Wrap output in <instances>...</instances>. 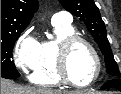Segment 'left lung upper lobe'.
Returning a JSON list of instances; mask_svg holds the SVG:
<instances>
[{
  "label": "left lung upper lobe",
  "instance_id": "obj_1",
  "mask_svg": "<svg viewBox=\"0 0 121 94\" xmlns=\"http://www.w3.org/2000/svg\"><path fill=\"white\" fill-rule=\"evenodd\" d=\"M61 5L71 14L79 17L98 43L102 54L105 56L106 71L114 76L120 72L107 39L104 22L101 19L98 7L93 0H59Z\"/></svg>",
  "mask_w": 121,
  "mask_h": 94
}]
</instances>
